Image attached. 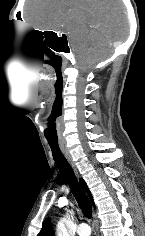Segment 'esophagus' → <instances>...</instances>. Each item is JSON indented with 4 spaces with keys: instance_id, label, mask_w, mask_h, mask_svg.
Here are the masks:
<instances>
[{
    "instance_id": "esophagus-1",
    "label": "esophagus",
    "mask_w": 145,
    "mask_h": 236,
    "mask_svg": "<svg viewBox=\"0 0 145 236\" xmlns=\"http://www.w3.org/2000/svg\"><path fill=\"white\" fill-rule=\"evenodd\" d=\"M60 148H61V151L63 152L64 156L66 157L67 161L70 163L71 167L75 171H77L75 163L73 162L72 157H71L66 145L64 143H60Z\"/></svg>"
}]
</instances>
